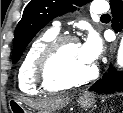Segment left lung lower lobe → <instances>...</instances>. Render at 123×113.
I'll return each instance as SVG.
<instances>
[{
	"instance_id": "0a47b994",
	"label": "left lung lower lobe",
	"mask_w": 123,
	"mask_h": 113,
	"mask_svg": "<svg viewBox=\"0 0 123 113\" xmlns=\"http://www.w3.org/2000/svg\"><path fill=\"white\" fill-rule=\"evenodd\" d=\"M110 6L113 16L112 28L116 32H119L123 27V2L121 0H110ZM89 90L97 93L123 91V73L117 72L113 66L110 65L108 74H104L102 79L95 82Z\"/></svg>"
}]
</instances>
